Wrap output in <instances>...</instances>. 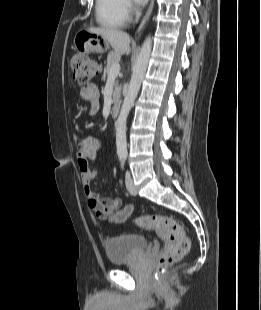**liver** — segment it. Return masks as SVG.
I'll return each mask as SVG.
<instances>
[{"label": "liver", "mask_w": 261, "mask_h": 310, "mask_svg": "<svg viewBox=\"0 0 261 310\" xmlns=\"http://www.w3.org/2000/svg\"><path fill=\"white\" fill-rule=\"evenodd\" d=\"M89 32L103 37L114 49L115 53L129 55L130 37L127 33L114 28H89Z\"/></svg>", "instance_id": "1"}]
</instances>
